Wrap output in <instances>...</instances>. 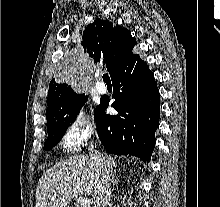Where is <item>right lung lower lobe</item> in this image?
I'll use <instances>...</instances> for the list:
<instances>
[{
  "instance_id": "obj_1",
  "label": "right lung lower lobe",
  "mask_w": 220,
  "mask_h": 207,
  "mask_svg": "<svg viewBox=\"0 0 220 207\" xmlns=\"http://www.w3.org/2000/svg\"><path fill=\"white\" fill-rule=\"evenodd\" d=\"M115 98L111 105L119 114L106 115L109 99L94 111L99 139L111 154L134 155L150 161L159 125V90L153 73L139 55L125 60L112 76Z\"/></svg>"
}]
</instances>
